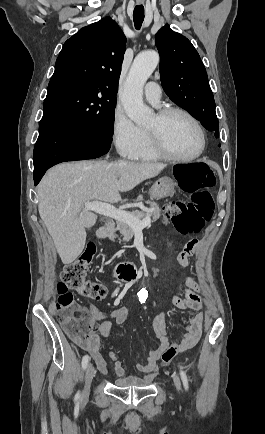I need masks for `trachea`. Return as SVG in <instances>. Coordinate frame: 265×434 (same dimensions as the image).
I'll return each instance as SVG.
<instances>
[{
  "label": "trachea",
  "mask_w": 265,
  "mask_h": 434,
  "mask_svg": "<svg viewBox=\"0 0 265 434\" xmlns=\"http://www.w3.org/2000/svg\"><path fill=\"white\" fill-rule=\"evenodd\" d=\"M144 16H145V14H144L143 5H137L133 11V20H134L135 27L137 29H139L141 27L143 20H144Z\"/></svg>",
  "instance_id": "1"
}]
</instances>
